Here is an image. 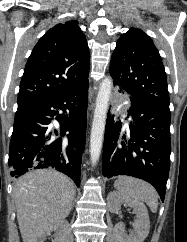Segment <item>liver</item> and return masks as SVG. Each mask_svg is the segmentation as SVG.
<instances>
[{"label":"liver","instance_id":"obj_1","mask_svg":"<svg viewBox=\"0 0 187 242\" xmlns=\"http://www.w3.org/2000/svg\"><path fill=\"white\" fill-rule=\"evenodd\" d=\"M73 182L53 169L31 171L14 185L17 220L23 242H36L65 219L73 205Z\"/></svg>","mask_w":187,"mask_h":242}]
</instances>
